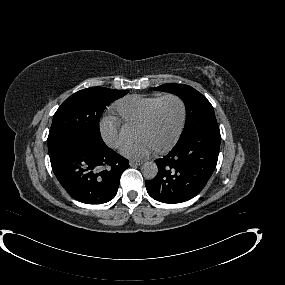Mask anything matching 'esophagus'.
Returning a JSON list of instances; mask_svg holds the SVG:
<instances>
[{
  "mask_svg": "<svg viewBox=\"0 0 285 285\" xmlns=\"http://www.w3.org/2000/svg\"><path fill=\"white\" fill-rule=\"evenodd\" d=\"M143 163V161H140V160H131L129 162L130 166H138V165H141Z\"/></svg>",
  "mask_w": 285,
  "mask_h": 285,
  "instance_id": "obj_1",
  "label": "esophagus"
}]
</instances>
